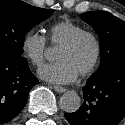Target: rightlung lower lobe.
<instances>
[{
	"mask_svg": "<svg viewBox=\"0 0 125 125\" xmlns=\"http://www.w3.org/2000/svg\"><path fill=\"white\" fill-rule=\"evenodd\" d=\"M0 48V123L15 118L27 103L30 89L38 84L25 58L14 60Z\"/></svg>",
	"mask_w": 125,
	"mask_h": 125,
	"instance_id": "1",
	"label": "right lung lower lobe"
}]
</instances>
